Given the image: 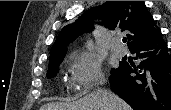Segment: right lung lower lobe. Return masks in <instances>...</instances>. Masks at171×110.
<instances>
[{
    "mask_svg": "<svg viewBox=\"0 0 171 110\" xmlns=\"http://www.w3.org/2000/svg\"><path fill=\"white\" fill-rule=\"evenodd\" d=\"M130 51L139 65L120 63L112 71L111 89L134 110H171V56L162 34Z\"/></svg>",
    "mask_w": 171,
    "mask_h": 110,
    "instance_id": "1",
    "label": "right lung lower lobe"
}]
</instances>
